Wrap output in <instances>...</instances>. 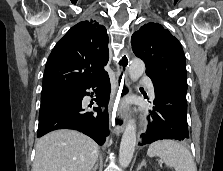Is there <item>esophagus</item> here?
I'll use <instances>...</instances> for the list:
<instances>
[{
  "label": "esophagus",
  "instance_id": "1",
  "mask_svg": "<svg viewBox=\"0 0 223 171\" xmlns=\"http://www.w3.org/2000/svg\"><path fill=\"white\" fill-rule=\"evenodd\" d=\"M128 65H129V55L126 51H124L120 55L119 60L116 62V67H117L116 98L111 99L109 103V109L110 111H113L112 125L117 135L123 132L127 119V111L124 108V100L130 94L131 91L130 83L127 76ZM116 101H117V106H116Z\"/></svg>",
  "mask_w": 223,
  "mask_h": 171
}]
</instances>
